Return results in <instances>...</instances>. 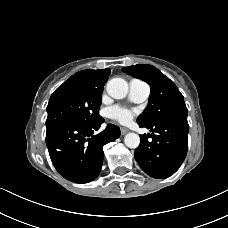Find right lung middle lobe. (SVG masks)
<instances>
[{
	"mask_svg": "<svg viewBox=\"0 0 228 228\" xmlns=\"http://www.w3.org/2000/svg\"><path fill=\"white\" fill-rule=\"evenodd\" d=\"M102 90H89L76 82L65 81L51 95L46 120L47 130L68 122H93L100 118Z\"/></svg>",
	"mask_w": 228,
	"mask_h": 228,
	"instance_id": "right-lung-middle-lobe-1",
	"label": "right lung middle lobe"
}]
</instances>
